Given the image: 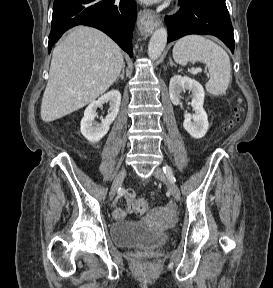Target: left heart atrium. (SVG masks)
<instances>
[{
  "label": "left heart atrium",
  "mask_w": 273,
  "mask_h": 288,
  "mask_svg": "<svg viewBox=\"0 0 273 288\" xmlns=\"http://www.w3.org/2000/svg\"><path fill=\"white\" fill-rule=\"evenodd\" d=\"M144 2H152L153 0H143Z\"/></svg>",
  "instance_id": "1"
}]
</instances>
